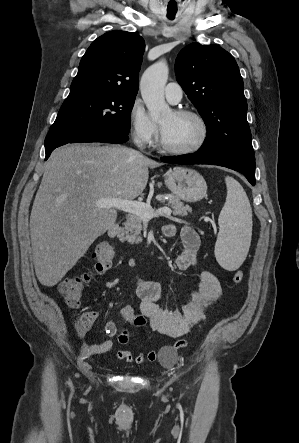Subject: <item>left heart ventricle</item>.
<instances>
[{
	"label": "left heart ventricle",
	"instance_id": "obj_1",
	"mask_svg": "<svg viewBox=\"0 0 299 443\" xmlns=\"http://www.w3.org/2000/svg\"><path fill=\"white\" fill-rule=\"evenodd\" d=\"M159 124L163 142L173 148L192 146L200 136L198 123L190 117L176 116L173 112L162 117Z\"/></svg>",
	"mask_w": 299,
	"mask_h": 443
}]
</instances>
